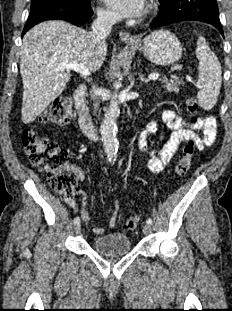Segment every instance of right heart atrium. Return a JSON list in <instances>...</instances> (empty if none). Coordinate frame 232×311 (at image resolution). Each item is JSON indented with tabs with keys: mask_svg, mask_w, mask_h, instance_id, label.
Listing matches in <instances>:
<instances>
[{
	"mask_svg": "<svg viewBox=\"0 0 232 311\" xmlns=\"http://www.w3.org/2000/svg\"><path fill=\"white\" fill-rule=\"evenodd\" d=\"M97 14L99 20L107 24L114 22L116 19L115 14L106 8H99Z\"/></svg>",
	"mask_w": 232,
	"mask_h": 311,
	"instance_id": "obj_1",
	"label": "right heart atrium"
}]
</instances>
